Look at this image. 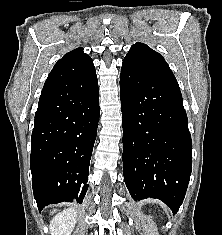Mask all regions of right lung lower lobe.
I'll return each mask as SVG.
<instances>
[{
  "mask_svg": "<svg viewBox=\"0 0 222 235\" xmlns=\"http://www.w3.org/2000/svg\"><path fill=\"white\" fill-rule=\"evenodd\" d=\"M96 71L66 81L46 80L31 137V173L39 211L77 200L88 173L99 122Z\"/></svg>",
  "mask_w": 222,
  "mask_h": 235,
  "instance_id": "1",
  "label": "right lung lower lobe"
}]
</instances>
